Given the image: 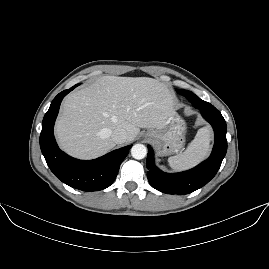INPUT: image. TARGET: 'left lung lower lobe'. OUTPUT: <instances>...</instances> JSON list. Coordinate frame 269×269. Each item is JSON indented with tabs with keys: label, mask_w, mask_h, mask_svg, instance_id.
Instances as JSON below:
<instances>
[{
	"label": "left lung lower lobe",
	"mask_w": 269,
	"mask_h": 269,
	"mask_svg": "<svg viewBox=\"0 0 269 269\" xmlns=\"http://www.w3.org/2000/svg\"><path fill=\"white\" fill-rule=\"evenodd\" d=\"M194 106L201 111L202 116L212 125L215 132V144L210 157L195 168L169 174L159 170L154 164L153 150L148 145L147 178L155 189L166 194L184 195L207 184L219 170L227 151L226 122L213 105L208 102H197Z\"/></svg>",
	"instance_id": "0a47b994"
}]
</instances>
